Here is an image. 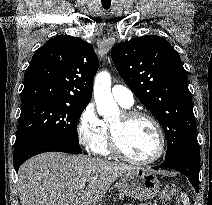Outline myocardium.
<instances>
[{"label": "myocardium", "mask_w": 212, "mask_h": 205, "mask_svg": "<svg viewBox=\"0 0 212 205\" xmlns=\"http://www.w3.org/2000/svg\"><path fill=\"white\" fill-rule=\"evenodd\" d=\"M120 117L121 119L118 125H115L112 122L109 123V147L111 152L129 163L137 165H148L158 161L165 151V136L159 121L152 114L141 110H124L121 112ZM135 118L147 119L153 125L158 138V148L156 153L145 159H136L126 154L122 149L119 140L120 127Z\"/></svg>", "instance_id": "obj_1"}]
</instances>
